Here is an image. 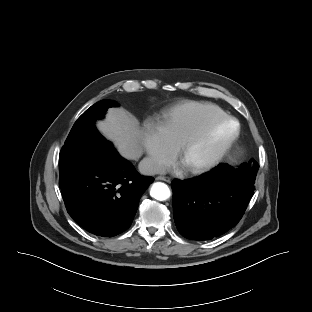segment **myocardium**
Returning <instances> with one entry per match:
<instances>
[{
	"mask_svg": "<svg viewBox=\"0 0 312 312\" xmlns=\"http://www.w3.org/2000/svg\"><path fill=\"white\" fill-rule=\"evenodd\" d=\"M224 124H231L233 130L231 134L225 139V141L204 161L188 167V170L192 173H202L214 166H216L222 158L229 152L234 143L240 136V124L231 116H225L223 118L216 119L205 126L203 129L183 141L179 146V157L183 156L198 143L207 138L216 128Z\"/></svg>",
	"mask_w": 312,
	"mask_h": 312,
	"instance_id": "myocardium-1",
	"label": "myocardium"
}]
</instances>
